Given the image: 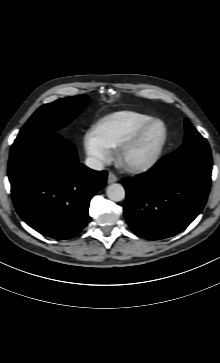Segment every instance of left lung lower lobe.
Listing matches in <instances>:
<instances>
[{
    "mask_svg": "<svg viewBox=\"0 0 220 363\" xmlns=\"http://www.w3.org/2000/svg\"><path fill=\"white\" fill-rule=\"evenodd\" d=\"M210 148L188 146L162 158L146 173L124 178V214L148 240L174 236L202 211L210 189Z\"/></svg>",
    "mask_w": 220,
    "mask_h": 363,
    "instance_id": "0a47b994",
    "label": "left lung lower lobe"
}]
</instances>
